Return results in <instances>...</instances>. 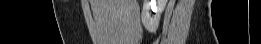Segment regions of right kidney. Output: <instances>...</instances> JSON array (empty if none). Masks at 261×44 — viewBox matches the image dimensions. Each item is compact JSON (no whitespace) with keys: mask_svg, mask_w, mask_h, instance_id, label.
Masks as SVG:
<instances>
[{"mask_svg":"<svg viewBox=\"0 0 261 44\" xmlns=\"http://www.w3.org/2000/svg\"><path fill=\"white\" fill-rule=\"evenodd\" d=\"M167 0H144L141 19L142 24L149 32H155L158 28L161 13L164 11ZM152 12L156 13L153 15Z\"/></svg>","mask_w":261,"mask_h":44,"instance_id":"ca27d5eb","label":"right kidney"}]
</instances>
